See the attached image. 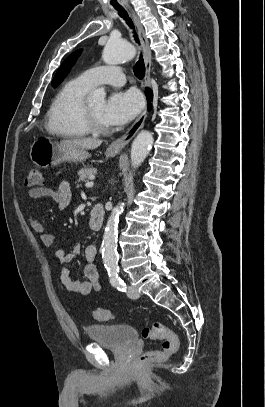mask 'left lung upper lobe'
<instances>
[{
    "mask_svg": "<svg viewBox=\"0 0 265 407\" xmlns=\"http://www.w3.org/2000/svg\"><path fill=\"white\" fill-rule=\"evenodd\" d=\"M81 51L82 50H77L65 59V61L59 67L58 71L54 76V79L52 81L53 87L58 86L63 81L64 77L68 74L70 68L75 63L76 59L79 57Z\"/></svg>",
    "mask_w": 265,
    "mask_h": 407,
    "instance_id": "1",
    "label": "left lung upper lobe"
}]
</instances>
